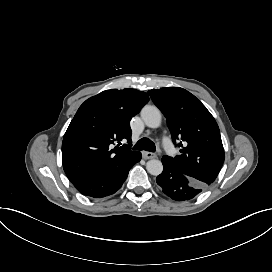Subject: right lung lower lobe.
Instances as JSON below:
<instances>
[{"instance_id":"1","label":"right lung lower lobe","mask_w":272,"mask_h":272,"mask_svg":"<svg viewBox=\"0 0 272 272\" xmlns=\"http://www.w3.org/2000/svg\"><path fill=\"white\" fill-rule=\"evenodd\" d=\"M141 153L136 152L119 162L116 166L73 183L76 189L85 196L92 198H103L118 191L126 180L129 170L139 162Z\"/></svg>"}]
</instances>
